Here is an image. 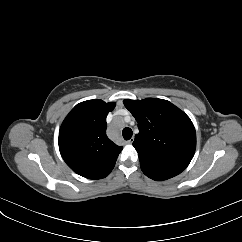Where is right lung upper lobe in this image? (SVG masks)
<instances>
[{
    "label": "right lung upper lobe",
    "instance_id": "right-lung-upper-lobe-1",
    "mask_svg": "<svg viewBox=\"0 0 242 242\" xmlns=\"http://www.w3.org/2000/svg\"><path fill=\"white\" fill-rule=\"evenodd\" d=\"M114 102L88 100L77 104L59 131V150L66 164L89 179L106 177L123 149L106 135V117Z\"/></svg>",
    "mask_w": 242,
    "mask_h": 242
}]
</instances>
